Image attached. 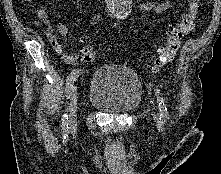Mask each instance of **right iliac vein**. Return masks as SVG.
<instances>
[{
    "mask_svg": "<svg viewBox=\"0 0 221 174\" xmlns=\"http://www.w3.org/2000/svg\"><path fill=\"white\" fill-rule=\"evenodd\" d=\"M78 92L77 86H73L71 96H70V103H69V127L73 128L77 122V108H78Z\"/></svg>",
    "mask_w": 221,
    "mask_h": 174,
    "instance_id": "63e3f726",
    "label": "right iliac vein"
}]
</instances>
